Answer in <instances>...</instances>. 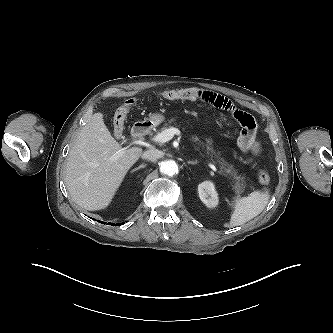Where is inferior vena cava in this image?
<instances>
[{
	"label": "inferior vena cava",
	"instance_id": "obj_1",
	"mask_svg": "<svg viewBox=\"0 0 333 333\" xmlns=\"http://www.w3.org/2000/svg\"><path fill=\"white\" fill-rule=\"evenodd\" d=\"M163 156V153L157 149L147 150L142 154V158L149 161H156Z\"/></svg>",
	"mask_w": 333,
	"mask_h": 333
}]
</instances>
